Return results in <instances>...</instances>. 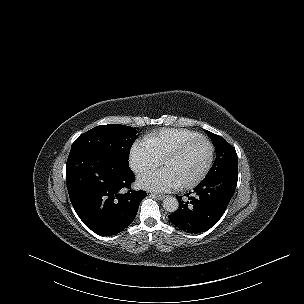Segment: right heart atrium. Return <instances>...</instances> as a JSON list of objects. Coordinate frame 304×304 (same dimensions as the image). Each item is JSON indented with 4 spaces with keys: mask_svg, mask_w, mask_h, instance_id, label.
I'll list each match as a JSON object with an SVG mask.
<instances>
[{
    "mask_svg": "<svg viewBox=\"0 0 304 304\" xmlns=\"http://www.w3.org/2000/svg\"><path fill=\"white\" fill-rule=\"evenodd\" d=\"M130 161L136 169H147L157 164L158 155L149 142H137L131 150Z\"/></svg>",
    "mask_w": 304,
    "mask_h": 304,
    "instance_id": "obj_1",
    "label": "right heart atrium"
}]
</instances>
